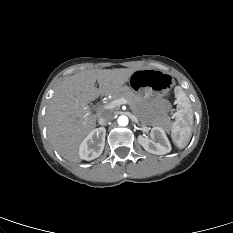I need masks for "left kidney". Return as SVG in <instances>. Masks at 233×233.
<instances>
[{
    "mask_svg": "<svg viewBox=\"0 0 233 233\" xmlns=\"http://www.w3.org/2000/svg\"><path fill=\"white\" fill-rule=\"evenodd\" d=\"M150 134L152 139L143 135L138 136L140 145H142L147 152L156 155H164L171 151V144L163 128L153 127Z\"/></svg>",
    "mask_w": 233,
    "mask_h": 233,
    "instance_id": "obj_1",
    "label": "left kidney"
}]
</instances>
